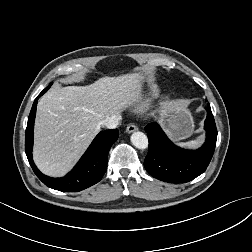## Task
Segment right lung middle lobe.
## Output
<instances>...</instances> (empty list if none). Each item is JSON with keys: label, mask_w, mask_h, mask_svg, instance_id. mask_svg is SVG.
Instances as JSON below:
<instances>
[{"label": "right lung middle lobe", "mask_w": 252, "mask_h": 252, "mask_svg": "<svg viewBox=\"0 0 252 252\" xmlns=\"http://www.w3.org/2000/svg\"><path fill=\"white\" fill-rule=\"evenodd\" d=\"M51 84H52V83H51ZM51 84H49V86H48V87H46L45 89H46V90H48V89L50 88Z\"/></svg>", "instance_id": "obj_1"}]
</instances>
